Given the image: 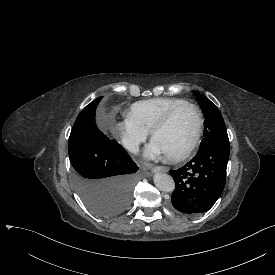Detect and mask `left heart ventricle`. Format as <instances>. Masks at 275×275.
I'll return each instance as SVG.
<instances>
[{
	"mask_svg": "<svg viewBox=\"0 0 275 275\" xmlns=\"http://www.w3.org/2000/svg\"><path fill=\"white\" fill-rule=\"evenodd\" d=\"M195 131V115L191 108L179 110L169 126L158 132L153 143L164 155H171L182 149L192 138Z\"/></svg>",
	"mask_w": 275,
	"mask_h": 275,
	"instance_id": "obj_1",
	"label": "left heart ventricle"
}]
</instances>
